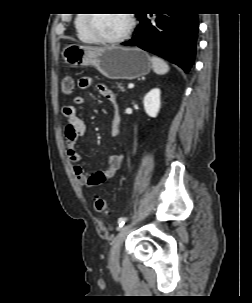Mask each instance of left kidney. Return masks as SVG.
Returning a JSON list of instances; mask_svg holds the SVG:
<instances>
[{
	"label": "left kidney",
	"instance_id": "obj_1",
	"mask_svg": "<svg viewBox=\"0 0 252 303\" xmlns=\"http://www.w3.org/2000/svg\"><path fill=\"white\" fill-rule=\"evenodd\" d=\"M160 89L154 88L151 91H149L144 99H143V105L145 112L148 116L155 118L157 117L160 106H161V100H160Z\"/></svg>",
	"mask_w": 252,
	"mask_h": 303
}]
</instances>
